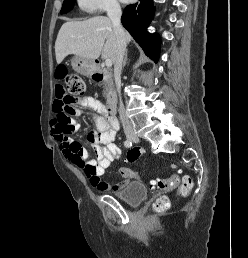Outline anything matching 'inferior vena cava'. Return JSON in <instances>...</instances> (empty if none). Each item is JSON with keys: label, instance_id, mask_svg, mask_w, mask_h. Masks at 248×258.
<instances>
[{"label": "inferior vena cava", "instance_id": "1", "mask_svg": "<svg viewBox=\"0 0 248 258\" xmlns=\"http://www.w3.org/2000/svg\"><path fill=\"white\" fill-rule=\"evenodd\" d=\"M107 15L112 22L113 29L116 34V51H115V62H114V78L117 87V92L119 94L120 103H119V115L120 120L124 129L125 134H132L134 129L125 113V109L120 97V84H121V70L123 58L126 51V37L124 29L121 25V7L119 3L115 0L109 3L107 9Z\"/></svg>", "mask_w": 248, "mask_h": 258}]
</instances>
